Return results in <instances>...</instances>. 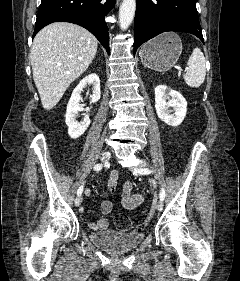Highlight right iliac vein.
Masks as SVG:
<instances>
[{"instance_id": "1", "label": "right iliac vein", "mask_w": 240, "mask_h": 281, "mask_svg": "<svg viewBox=\"0 0 240 281\" xmlns=\"http://www.w3.org/2000/svg\"><path fill=\"white\" fill-rule=\"evenodd\" d=\"M111 157V153L110 152H104L102 155H101V161L102 162H107ZM82 202V196L81 195H78L75 199V206L78 207Z\"/></svg>"}]
</instances>
